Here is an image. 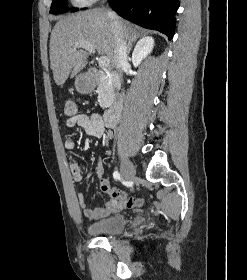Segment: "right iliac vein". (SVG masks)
I'll return each mask as SVG.
<instances>
[{"label":"right iliac vein","mask_w":247,"mask_h":280,"mask_svg":"<svg viewBox=\"0 0 247 280\" xmlns=\"http://www.w3.org/2000/svg\"><path fill=\"white\" fill-rule=\"evenodd\" d=\"M136 174V170L134 165L127 159H123L121 161V175L123 178L127 180H131L134 178Z\"/></svg>","instance_id":"1"}]
</instances>
